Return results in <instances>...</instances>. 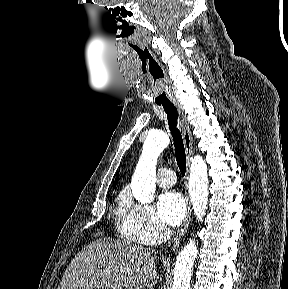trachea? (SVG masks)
Instances as JSON below:
<instances>
[{
	"instance_id": "3493384b",
	"label": "trachea",
	"mask_w": 288,
	"mask_h": 289,
	"mask_svg": "<svg viewBox=\"0 0 288 289\" xmlns=\"http://www.w3.org/2000/svg\"><path fill=\"white\" fill-rule=\"evenodd\" d=\"M137 57L152 79V96L158 105H162L165 113L167 114L168 125L173 138L175 148V156L181 174L184 176L186 172V154L182 135L177 128L178 113L175 106L168 100V92L165 87V73L155 59L153 54L147 49L137 50Z\"/></svg>"
}]
</instances>
